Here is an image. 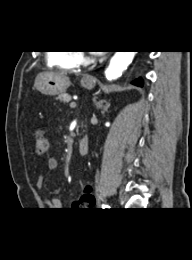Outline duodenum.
Returning a JSON list of instances; mask_svg holds the SVG:
<instances>
[{
  "label": "duodenum",
  "instance_id": "1",
  "mask_svg": "<svg viewBox=\"0 0 192 260\" xmlns=\"http://www.w3.org/2000/svg\"><path fill=\"white\" fill-rule=\"evenodd\" d=\"M89 151V138L84 136L78 144L77 152L79 155L84 156Z\"/></svg>",
  "mask_w": 192,
  "mask_h": 260
}]
</instances>
